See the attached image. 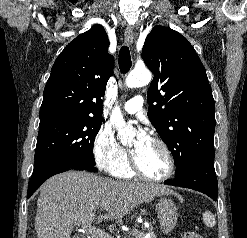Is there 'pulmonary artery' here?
I'll use <instances>...</instances> for the list:
<instances>
[{
  "label": "pulmonary artery",
  "mask_w": 247,
  "mask_h": 238,
  "mask_svg": "<svg viewBox=\"0 0 247 238\" xmlns=\"http://www.w3.org/2000/svg\"><path fill=\"white\" fill-rule=\"evenodd\" d=\"M143 104V97L135 96L124 103L123 110L128 114H135L142 109Z\"/></svg>",
  "instance_id": "obj_1"
}]
</instances>
